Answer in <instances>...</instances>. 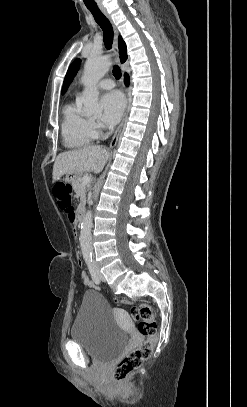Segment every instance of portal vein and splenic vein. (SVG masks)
Segmentation results:
<instances>
[{"instance_id": "1", "label": "portal vein and splenic vein", "mask_w": 247, "mask_h": 407, "mask_svg": "<svg viewBox=\"0 0 247 407\" xmlns=\"http://www.w3.org/2000/svg\"><path fill=\"white\" fill-rule=\"evenodd\" d=\"M91 180H92V178L90 176H85L82 179V184H88L91 182Z\"/></svg>"}]
</instances>
